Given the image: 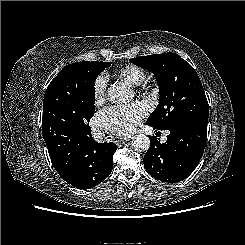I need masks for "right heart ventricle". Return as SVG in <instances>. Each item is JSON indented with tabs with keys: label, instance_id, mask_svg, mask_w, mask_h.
Masks as SVG:
<instances>
[{
	"label": "right heart ventricle",
	"instance_id": "right-heart-ventricle-1",
	"mask_svg": "<svg viewBox=\"0 0 245 245\" xmlns=\"http://www.w3.org/2000/svg\"><path fill=\"white\" fill-rule=\"evenodd\" d=\"M116 76L132 86H139L144 82L146 73L142 67L128 64L118 69L116 71Z\"/></svg>",
	"mask_w": 245,
	"mask_h": 245
}]
</instances>
